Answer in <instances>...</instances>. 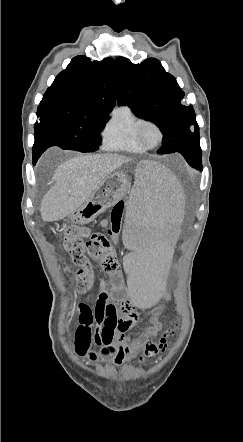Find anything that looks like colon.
<instances>
[{
  "mask_svg": "<svg viewBox=\"0 0 243 442\" xmlns=\"http://www.w3.org/2000/svg\"><path fill=\"white\" fill-rule=\"evenodd\" d=\"M124 206V201H118L111 211L110 218L104 223L109 234V239H105L106 245L109 247H111L110 242H115L120 233ZM62 245L71 257L73 264L78 268L74 280L75 290L79 293L90 292L95 286L96 280L88 255L96 245L90 240L89 228L79 224L68 225L63 234ZM175 332V328L169 329L159 340L147 342L144 348V356L149 358L164 352L170 344V337ZM145 357L137 358L138 366L146 365Z\"/></svg>",
  "mask_w": 243,
  "mask_h": 442,
  "instance_id": "1",
  "label": "colon"
}]
</instances>
